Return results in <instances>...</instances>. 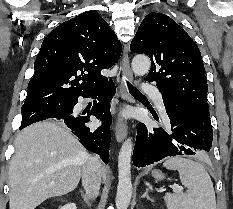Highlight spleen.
<instances>
[{
    "label": "spleen",
    "instance_id": "1",
    "mask_svg": "<svg viewBox=\"0 0 233 209\" xmlns=\"http://www.w3.org/2000/svg\"><path fill=\"white\" fill-rule=\"evenodd\" d=\"M163 166L177 170L187 193H167L164 196L168 209H216V198L211 178L202 164L193 160L174 157Z\"/></svg>",
    "mask_w": 233,
    "mask_h": 209
}]
</instances>
